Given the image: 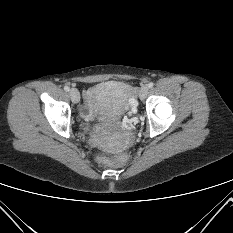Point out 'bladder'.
I'll list each match as a JSON object with an SVG mask.
<instances>
[{
  "mask_svg": "<svg viewBox=\"0 0 233 233\" xmlns=\"http://www.w3.org/2000/svg\"><path fill=\"white\" fill-rule=\"evenodd\" d=\"M128 106L129 90L122 82H103L92 91L91 111L97 118L117 119L127 110Z\"/></svg>",
  "mask_w": 233,
  "mask_h": 233,
  "instance_id": "bladder-1",
  "label": "bladder"
}]
</instances>
